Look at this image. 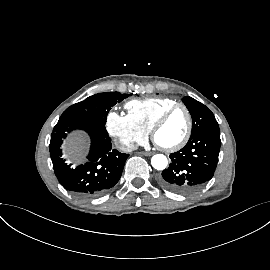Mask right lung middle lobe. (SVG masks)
I'll return each instance as SVG.
<instances>
[{"instance_id": "right-lung-middle-lobe-1", "label": "right lung middle lobe", "mask_w": 270, "mask_h": 270, "mask_svg": "<svg viewBox=\"0 0 270 270\" xmlns=\"http://www.w3.org/2000/svg\"><path fill=\"white\" fill-rule=\"evenodd\" d=\"M130 94L99 93L86 98L84 101L76 103L67 108L61 115L58 122L75 119H87L96 121L105 125L107 114L111 107L116 103H120Z\"/></svg>"}]
</instances>
